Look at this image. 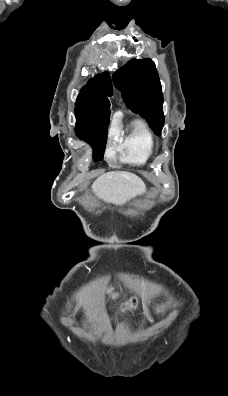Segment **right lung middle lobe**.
<instances>
[{"label": "right lung middle lobe", "instance_id": "1", "mask_svg": "<svg viewBox=\"0 0 228 396\" xmlns=\"http://www.w3.org/2000/svg\"><path fill=\"white\" fill-rule=\"evenodd\" d=\"M76 119L75 131L77 136L91 144L94 161L102 160L107 140L110 113L93 118L81 119L76 117Z\"/></svg>", "mask_w": 228, "mask_h": 396}]
</instances>
